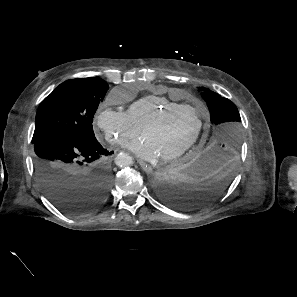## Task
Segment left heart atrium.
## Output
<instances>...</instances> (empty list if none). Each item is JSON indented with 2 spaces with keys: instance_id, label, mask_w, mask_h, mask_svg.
Returning <instances> with one entry per match:
<instances>
[{
  "instance_id": "obj_1",
  "label": "left heart atrium",
  "mask_w": 297,
  "mask_h": 297,
  "mask_svg": "<svg viewBox=\"0 0 297 297\" xmlns=\"http://www.w3.org/2000/svg\"><path fill=\"white\" fill-rule=\"evenodd\" d=\"M127 148L142 160L154 161L160 157L155 145L144 137L131 142Z\"/></svg>"
}]
</instances>
